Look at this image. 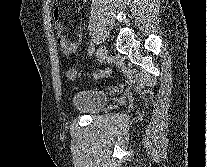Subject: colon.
<instances>
[{"mask_svg": "<svg viewBox=\"0 0 207 167\" xmlns=\"http://www.w3.org/2000/svg\"><path fill=\"white\" fill-rule=\"evenodd\" d=\"M113 73L111 69H99L88 73L87 76L92 79H102L109 77ZM65 74L69 80H76L81 76V72L73 68L67 69Z\"/></svg>", "mask_w": 207, "mask_h": 167, "instance_id": "5ec220e1", "label": "colon"}]
</instances>
